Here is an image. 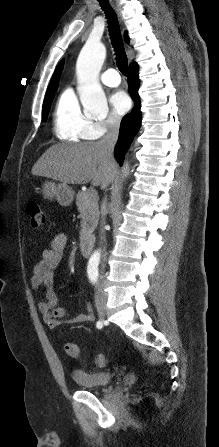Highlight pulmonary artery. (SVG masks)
<instances>
[{
    "label": "pulmonary artery",
    "mask_w": 219,
    "mask_h": 447,
    "mask_svg": "<svg viewBox=\"0 0 219 447\" xmlns=\"http://www.w3.org/2000/svg\"><path fill=\"white\" fill-rule=\"evenodd\" d=\"M101 81L106 86L116 87L120 84L121 78L115 69H108L101 75Z\"/></svg>",
    "instance_id": "1"
}]
</instances>
